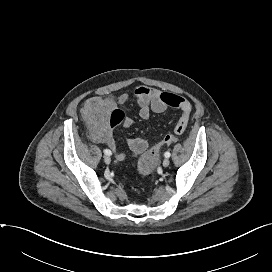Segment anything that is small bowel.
I'll list each match as a JSON object with an SVG mask.
<instances>
[{
  "label": "small bowel",
  "instance_id": "obj_1",
  "mask_svg": "<svg viewBox=\"0 0 272 272\" xmlns=\"http://www.w3.org/2000/svg\"><path fill=\"white\" fill-rule=\"evenodd\" d=\"M134 97L139 108V115L145 120L150 117L152 112L163 113L169 108L180 110L181 116L175 125L174 132L177 135H181L185 131L187 124L182 128V123L189 121L191 112V104L187 99L174 93L163 92L144 85H139L135 88ZM130 98L129 94H123L118 98L117 102L122 105L129 101ZM131 123V119L126 118L123 122V127H129ZM93 138L98 142L105 143L114 152L118 160L125 158V153L116 145L112 130H108L102 136H94ZM128 146L134 154H140L148 148V142L141 138H132L128 140Z\"/></svg>",
  "mask_w": 272,
  "mask_h": 272
}]
</instances>
